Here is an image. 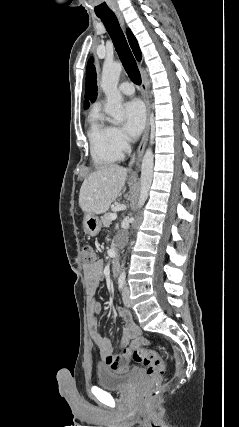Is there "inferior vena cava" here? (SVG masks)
Wrapping results in <instances>:
<instances>
[{"label":"inferior vena cava","mask_w":239,"mask_h":427,"mask_svg":"<svg viewBox=\"0 0 239 427\" xmlns=\"http://www.w3.org/2000/svg\"><path fill=\"white\" fill-rule=\"evenodd\" d=\"M134 161V157H133V159H132V161H131V163Z\"/></svg>","instance_id":"602c4592"}]
</instances>
